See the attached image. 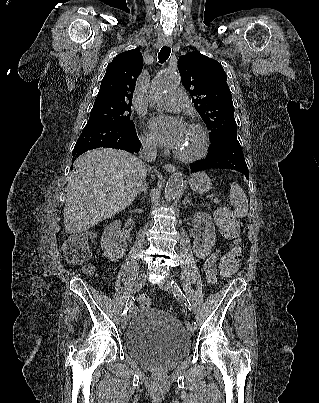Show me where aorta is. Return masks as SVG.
I'll return each mask as SVG.
<instances>
[{
	"instance_id": "aorta-1",
	"label": "aorta",
	"mask_w": 319,
	"mask_h": 403,
	"mask_svg": "<svg viewBox=\"0 0 319 403\" xmlns=\"http://www.w3.org/2000/svg\"><path fill=\"white\" fill-rule=\"evenodd\" d=\"M180 83L179 77L168 71L159 73L153 81L152 90L155 93H162L170 88L178 86ZM183 174L175 172L168 180L165 188L166 201L174 200L182 191Z\"/></svg>"
}]
</instances>
